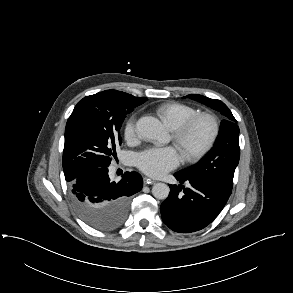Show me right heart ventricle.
Masks as SVG:
<instances>
[{
	"label": "right heart ventricle",
	"instance_id": "e07e8e85",
	"mask_svg": "<svg viewBox=\"0 0 293 293\" xmlns=\"http://www.w3.org/2000/svg\"><path fill=\"white\" fill-rule=\"evenodd\" d=\"M156 111L171 130L200 112L197 108L180 102L162 103L156 108Z\"/></svg>",
	"mask_w": 293,
	"mask_h": 293
}]
</instances>
